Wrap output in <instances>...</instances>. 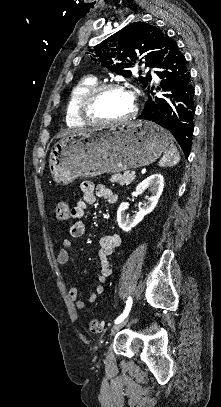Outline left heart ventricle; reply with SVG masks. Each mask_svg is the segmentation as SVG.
<instances>
[{
	"label": "left heart ventricle",
	"instance_id": "b2bd125f",
	"mask_svg": "<svg viewBox=\"0 0 221 407\" xmlns=\"http://www.w3.org/2000/svg\"><path fill=\"white\" fill-rule=\"evenodd\" d=\"M133 104V97L128 91L112 90L101 97L95 112L105 119H117L128 114Z\"/></svg>",
	"mask_w": 221,
	"mask_h": 407
}]
</instances>
